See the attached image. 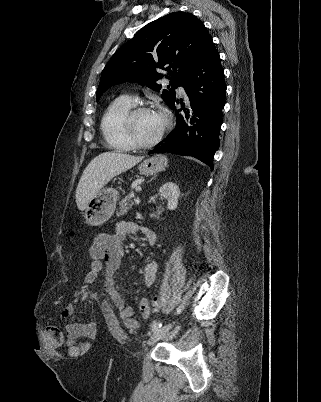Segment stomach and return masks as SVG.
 I'll use <instances>...</instances> for the list:
<instances>
[{
  "mask_svg": "<svg viewBox=\"0 0 321 402\" xmlns=\"http://www.w3.org/2000/svg\"><path fill=\"white\" fill-rule=\"evenodd\" d=\"M167 158L163 155H154L144 160L138 169L141 174L153 175L167 166ZM119 193L113 188L99 190L84 209V218L87 224L99 226L108 221L113 215Z\"/></svg>",
  "mask_w": 321,
  "mask_h": 402,
  "instance_id": "0dacf381",
  "label": "stomach"
}]
</instances>
